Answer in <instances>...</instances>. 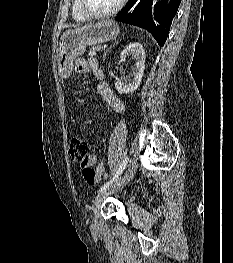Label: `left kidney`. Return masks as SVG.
Returning a JSON list of instances; mask_svg holds the SVG:
<instances>
[{"instance_id":"obj_1","label":"left kidney","mask_w":233,"mask_h":263,"mask_svg":"<svg viewBox=\"0 0 233 263\" xmlns=\"http://www.w3.org/2000/svg\"><path fill=\"white\" fill-rule=\"evenodd\" d=\"M132 56L135 60L134 79L127 83L123 80H118L115 83V88L120 94H128L134 92L141 84V80L145 68V51L142 45L138 42L130 43L120 55L121 61H125L127 57Z\"/></svg>"}]
</instances>
